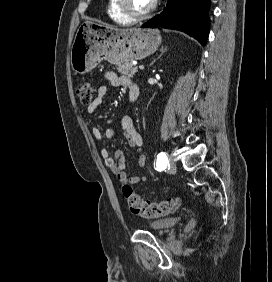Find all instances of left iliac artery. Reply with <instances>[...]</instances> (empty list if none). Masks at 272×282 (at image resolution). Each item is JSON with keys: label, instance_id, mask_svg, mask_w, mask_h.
I'll return each instance as SVG.
<instances>
[{"label": "left iliac artery", "instance_id": "obj_1", "mask_svg": "<svg viewBox=\"0 0 272 282\" xmlns=\"http://www.w3.org/2000/svg\"><path fill=\"white\" fill-rule=\"evenodd\" d=\"M168 166V158L166 153L161 152L157 156L156 169L159 171L165 170Z\"/></svg>", "mask_w": 272, "mask_h": 282}]
</instances>
